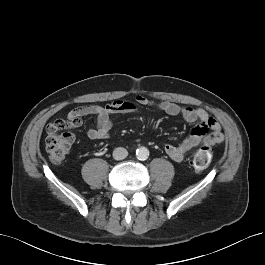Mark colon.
Segmentation results:
<instances>
[{
  "label": "colon",
  "mask_w": 265,
  "mask_h": 265,
  "mask_svg": "<svg viewBox=\"0 0 265 265\" xmlns=\"http://www.w3.org/2000/svg\"><path fill=\"white\" fill-rule=\"evenodd\" d=\"M73 127L69 118L58 119L47 127L46 150L50 159L59 163L62 162L69 153L74 142V135L65 131ZM212 161V150L208 146L201 147L193 157V166L197 170L206 169Z\"/></svg>",
  "instance_id": "5ec220e1"
}]
</instances>
